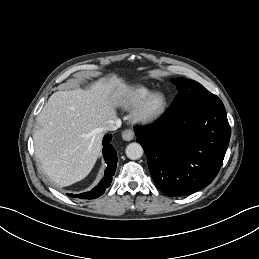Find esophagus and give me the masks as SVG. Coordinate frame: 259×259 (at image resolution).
<instances>
[{
	"label": "esophagus",
	"mask_w": 259,
	"mask_h": 259,
	"mask_svg": "<svg viewBox=\"0 0 259 259\" xmlns=\"http://www.w3.org/2000/svg\"><path fill=\"white\" fill-rule=\"evenodd\" d=\"M135 137V133H134V130L133 129H126L122 132V138L125 140V141H131L133 140Z\"/></svg>",
	"instance_id": "34e87169"
}]
</instances>
